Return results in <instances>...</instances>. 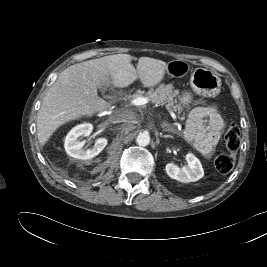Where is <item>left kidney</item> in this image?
Segmentation results:
<instances>
[{
  "instance_id": "obj_1",
  "label": "left kidney",
  "mask_w": 267,
  "mask_h": 267,
  "mask_svg": "<svg viewBox=\"0 0 267 267\" xmlns=\"http://www.w3.org/2000/svg\"><path fill=\"white\" fill-rule=\"evenodd\" d=\"M186 161L188 162V167L183 168H179L173 163H168L165 167L168 176L183 183L195 182L201 179L204 176V170L199 159L188 153Z\"/></svg>"
}]
</instances>
